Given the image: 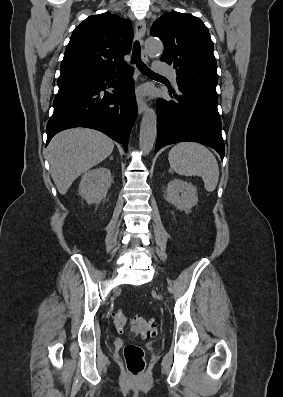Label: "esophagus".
Wrapping results in <instances>:
<instances>
[{"label": "esophagus", "mask_w": 283, "mask_h": 397, "mask_svg": "<svg viewBox=\"0 0 283 397\" xmlns=\"http://www.w3.org/2000/svg\"><path fill=\"white\" fill-rule=\"evenodd\" d=\"M135 32H136L137 38L139 39V41L142 44L144 36H145V32H146V25H145L144 21L138 20L136 22ZM142 59L144 61L148 62V56L144 50L142 51ZM137 106H138L139 114H142L147 109V103L142 97H137Z\"/></svg>", "instance_id": "34e87169"}]
</instances>
